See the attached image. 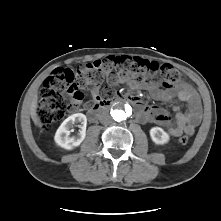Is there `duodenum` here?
Listing matches in <instances>:
<instances>
[{
	"label": "duodenum",
	"mask_w": 221,
	"mask_h": 221,
	"mask_svg": "<svg viewBox=\"0 0 221 221\" xmlns=\"http://www.w3.org/2000/svg\"><path fill=\"white\" fill-rule=\"evenodd\" d=\"M120 98L128 101L132 105H136L137 107L142 105V102L133 96L127 95V96L120 97ZM115 102H116V99L114 98H104V99H100L98 101L93 102L87 111L88 118L92 121L96 120L100 113L106 111Z\"/></svg>",
	"instance_id": "obj_1"
}]
</instances>
